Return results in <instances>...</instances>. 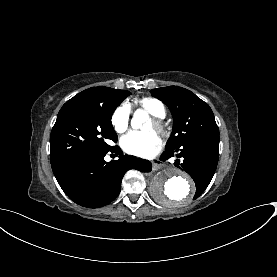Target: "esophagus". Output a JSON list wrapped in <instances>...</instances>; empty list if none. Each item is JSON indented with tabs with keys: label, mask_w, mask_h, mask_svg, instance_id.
<instances>
[{
	"label": "esophagus",
	"mask_w": 277,
	"mask_h": 277,
	"mask_svg": "<svg viewBox=\"0 0 277 277\" xmlns=\"http://www.w3.org/2000/svg\"><path fill=\"white\" fill-rule=\"evenodd\" d=\"M151 164H152L153 171H157L163 167V163H161V161L158 158L152 160Z\"/></svg>",
	"instance_id": "obj_1"
}]
</instances>
